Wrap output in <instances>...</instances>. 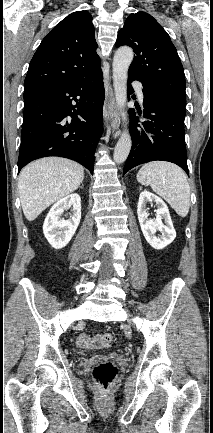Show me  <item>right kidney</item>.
Wrapping results in <instances>:
<instances>
[{
  "label": "right kidney",
  "instance_id": "obj_1",
  "mask_svg": "<svg viewBox=\"0 0 213 433\" xmlns=\"http://www.w3.org/2000/svg\"><path fill=\"white\" fill-rule=\"evenodd\" d=\"M72 207V214L68 220L61 218L65 209ZM81 219V198L78 194H70L50 209L43 224V233L50 245L55 249L65 247L73 235Z\"/></svg>",
  "mask_w": 213,
  "mask_h": 433
}]
</instances>
